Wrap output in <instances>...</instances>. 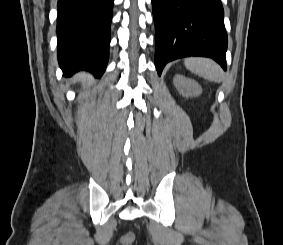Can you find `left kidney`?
<instances>
[{
    "label": "left kidney",
    "mask_w": 283,
    "mask_h": 245,
    "mask_svg": "<svg viewBox=\"0 0 283 245\" xmlns=\"http://www.w3.org/2000/svg\"><path fill=\"white\" fill-rule=\"evenodd\" d=\"M173 83L183 96L192 97L202 93L201 86L195 80L186 78L183 75H175Z\"/></svg>",
    "instance_id": "obj_1"
}]
</instances>
